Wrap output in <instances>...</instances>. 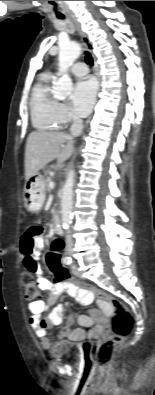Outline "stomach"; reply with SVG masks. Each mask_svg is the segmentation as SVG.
I'll return each instance as SVG.
<instances>
[{
  "label": "stomach",
  "instance_id": "1",
  "mask_svg": "<svg viewBox=\"0 0 155 395\" xmlns=\"http://www.w3.org/2000/svg\"><path fill=\"white\" fill-rule=\"evenodd\" d=\"M25 207L29 212H38L45 201V183L40 174L31 177L24 187Z\"/></svg>",
  "mask_w": 155,
  "mask_h": 395
}]
</instances>
